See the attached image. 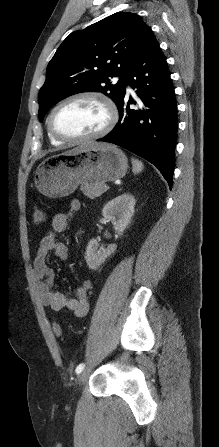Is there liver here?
Segmentation results:
<instances>
[{
  "label": "liver",
  "mask_w": 219,
  "mask_h": 447,
  "mask_svg": "<svg viewBox=\"0 0 219 447\" xmlns=\"http://www.w3.org/2000/svg\"><path fill=\"white\" fill-rule=\"evenodd\" d=\"M87 145H90V144H87ZM84 146H86V145H84ZM84 146H81V147L75 148V149H73V150L67 151L66 153H72V152H74V151H77V150L83 148Z\"/></svg>",
  "instance_id": "liver-1"
}]
</instances>
